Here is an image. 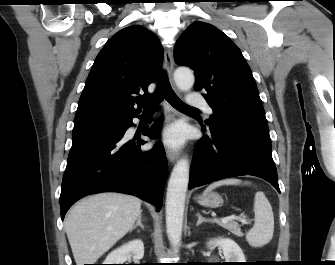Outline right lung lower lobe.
Returning a JSON list of instances; mask_svg holds the SVG:
<instances>
[{
    "label": "right lung lower lobe",
    "instance_id": "1",
    "mask_svg": "<svg viewBox=\"0 0 335 265\" xmlns=\"http://www.w3.org/2000/svg\"><path fill=\"white\" fill-rule=\"evenodd\" d=\"M158 120L144 135L156 137L161 130ZM132 119L122 122L115 134H100L73 140L63 175L60 195L61 218L80 198L93 193L115 191L140 197L161 208L167 175V160L161 144L147 151L146 141H127L126 130Z\"/></svg>",
    "mask_w": 335,
    "mask_h": 265
}]
</instances>
